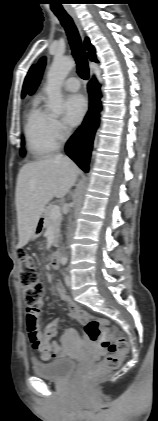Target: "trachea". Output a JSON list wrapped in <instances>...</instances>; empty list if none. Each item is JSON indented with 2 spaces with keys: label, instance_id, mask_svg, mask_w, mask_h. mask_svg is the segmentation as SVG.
I'll use <instances>...</instances> for the list:
<instances>
[{
  "label": "trachea",
  "instance_id": "3493384b",
  "mask_svg": "<svg viewBox=\"0 0 158 421\" xmlns=\"http://www.w3.org/2000/svg\"><path fill=\"white\" fill-rule=\"evenodd\" d=\"M55 15L61 22L68 36L72 54L77 64V73L82 79L87 80L89 77L88 63L73 19L67 13H55Z\"/></svg>",
  "mask_w": 158,
  "mask_h": 421
}]
</instances>
